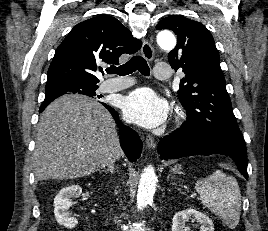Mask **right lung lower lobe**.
Segmentation results:
<instances>
[{
  "mask_svg": "<svg viewBox=\"0 0 268 231\" xmlns=\"http://www.w3.org/2000/svg\"><path fill=\"white\" fill-rule=\"evenodd\" d=\"M112 114L114 119L117 122L118 127L120 128V139H121V147L128 157L129 161H136L142 152V141L138 134L132 130L131 128L124 126L118 118V114L116 111L110 106L102 103ZM44 109H40L39 112H42Z\"/></svg>",
  "mask_w": 268,
  "mask_h": 231,
  "instance_id": "1",
  "label": "right lung lower lobe"
}]
</instances>
